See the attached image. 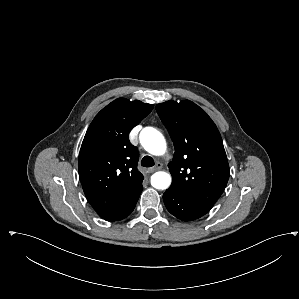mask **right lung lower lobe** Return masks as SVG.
Returning a JSON list of instances; mask_svg holds the SVG:
<instances>
[{
    "instance_id": "right-lung-lower-lobe-1",
    "label": "right lung lower lobe",
    "mask_w": 299,
    "mask_h": 299,
    "mask_svg": "<svg viewBox=\"0 0 299 299\" xmlns=\"http://www.w3.org/2000/svg\"><path fill=\"white\" fill-rule=\"evenodd\" d=\"M141 187L129 200H127L123 205L117 208L112 213L108 214L107 216L103 217L106 221L114 222L119 221L121 219L126 218L131 212L134 210L135 205L138 201L140 193L142 191Z\"/></svg>"
}]
</instances>
